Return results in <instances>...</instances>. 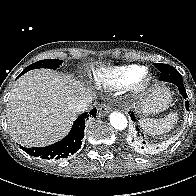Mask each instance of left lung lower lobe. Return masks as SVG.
Instances as JSON below:
<instances>
[{
  "instance_id": "left-lung-lower-lobe-1",
  "label": "left lung lower lobe",
  "mask_w": 196,
  "mask_h": 196,
  "mask_svg": "<svg viewBox=\"0 0 196 196\" xmlns=\"http://www.w3.org/2000/svg\"><path fill=\"white\" fill-rule=\"evenodd\" d=\"M157 67L161 71V76H162L161 80L175 84L178 87L179 92L181 93L183 98L184 99L188 98L186 90L183 85L182 78H180V75H178L177 71L173 67H171L167 64H162V66H157ZM185 105H186V109H188V107H189L188 101L185 102ZM130 117L133 121H135V117H134L133 112H131ZM136 128H137V131H139L138 127H136ZM138 136H139V134H138ZM130 146L133 147L134 149L136 148L137 151H139L140 153H148L150 151L152 152L151 147H147L145 141H143L142 143H139V144H136V143L132 144L131 143ZM155 147H156V149H158L157 146H155Z\"/></svg>"
}]
</instances>
